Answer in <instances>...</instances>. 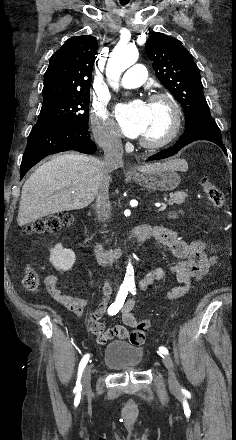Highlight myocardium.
Returning <instances> with one entry per match:
<instances>
[{
    "mask_svg": "<svg viewBox=\"0 0 236 440\" xmlns=\"http://www.w3.org/2000/svg\"><path fill=\"white\" fill-rule=\"evenodd\" d=\"M148 102L150 104L155 102H164L168 106L171 113V125L165 136L157 140L141 138L139 141L140 145L144 148L159 149L170 144L178 136L182 125L181 110L177 100L167 92H157L152 94L149 97Z\"/></svg>",
    "mask_w": 236,
    "mask_h": 440,
    "instance_id": "f54148a6",
    "label": "myocardium"
}]
</instances>
